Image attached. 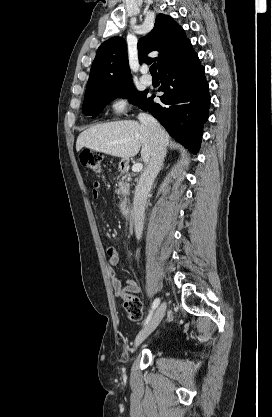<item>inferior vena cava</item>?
Here are the masks:
<instances>
[{
	"instance_id": "inferior-vena-cava-1",
	"label": "inferior vena cava",
	"mask_w": 272,
	"mask_h": 417,
	"mask_svg": "<svg viewBox=\"0 0 272 417\" xmlns=\"http://www.w3.org/2000/svg\"><path fill=\"white\" fill-rule=\"evenodd\" d=\"M138 119L148 130L151 142V158L146 169L140 176L139 182L135 189L133 202V220L136 238L139 240L142 236L144 225V212L147 202V196L151 186L159 173L164 157L166 155L165 132L158 121L150 114L140 113Z\"/></svg>"
}]
</instances>
